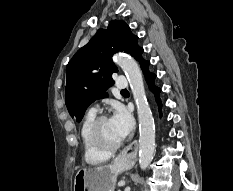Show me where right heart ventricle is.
<instances>
[{"label":"right heart ventricle","instance_id":"e07e8e85","mask_svg":"<svg viewBox=\"0 0 233 191\" xmlns=\"http://www.w3.org/2000/svg\"><path fill=\"white\" fill-rule=\"evenodd\" d=\"M96 114L93 111H89L80 126V140L82 144L83 154L85 161L89 164H99L109 159L110 154L101 153L95 150L89 142V128L92 121L95 119Z\"/></svg>","mask_w":233,"mask_h":191}]
</instances>
